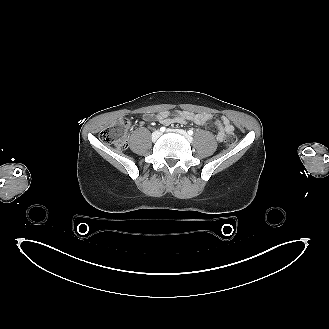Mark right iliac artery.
Returning <instances> with one entry per match:
<instances>
[{"mask_svg":"<svg viewBox=\"0 0 329 329\" xmlns=\"http://www.w3.org/2000/svg\"><path fill=\"white\" fill-rule=\"evenodd\" d=\"M165 130H166L165 127H161V128H160V131H161V132H164Z\"/></svg>","mask_w":329,"mask_h":329,"instance_id":"obj_1","label":"right iliac artery"}]
</instances>
